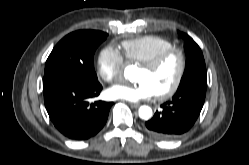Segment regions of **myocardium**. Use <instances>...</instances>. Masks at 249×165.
Listing matches in <instances>:
<instances>
[{"label": "myocardium", "instance_id": "obj_1", "mask_svg": "<svg viewBox=\"0 0 249 165\" xmlns=\"http://www.w3.org/2000/svg\"><path fill=\"white\" fill-rule=\"evenodd\" d=\"M173 55H176L178 57V60H179V66H178V70H177L175 79L169 88H167L166 90H164L162 92H158L155 94L158 99H167V98L171 97L172 95H174L176 93V91L178 90V88L182 82V79H183V76L185 73V69H186V55H185L184 51L179 47H171L169 49L164 50L160 54H158L152 60L140 65L142 68H144L150 72H155L165 63V61L168 58H170Z\"/></svg>", "mask_w": 249, "mask_h": 165}]
</instances>
